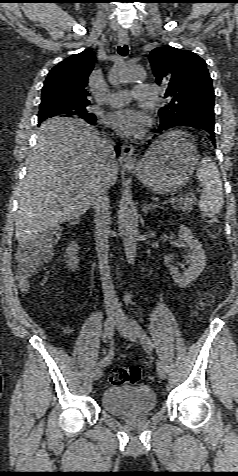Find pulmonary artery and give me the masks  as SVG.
Wrapping results in <instances>:
<instances>
[{"mask_svg": "<svg viewBox=\"0 0 238 476\" xmlns=\"http://www.w3.org/2000/svg\"><path fill=\"white\" fill-rule=\"evenodd\" d=\"M157 88L150 84H137L134 90H118L110 94L106 102L114 107L127 104L132 98L148 101L153 100L157 96Z\"/></svg>", "mask_w": 238, "mask_h": 476, "instance_id": "e3ab8cb5", "label": "pulmonary artery"}]
</instances>
